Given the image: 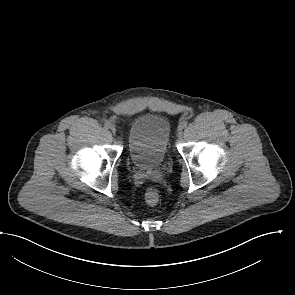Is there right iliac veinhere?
I'll return each instance as SVG.
<instances>
[{"instance_id": "right-iliac-vein-1", "label": "right iliac vein", "mask_w": 295, "mask_h": 295, "mask_svg": "<svg viewBox=\"0 0 295 295\" xmlns=\"http://www.w3.org/2000/svg\"><path fill=\"white\" fill-rule=\"evenodd\" d=\"M112 133H116V128L114 126L111 127Z\"/></svg>"}]
</instances>
